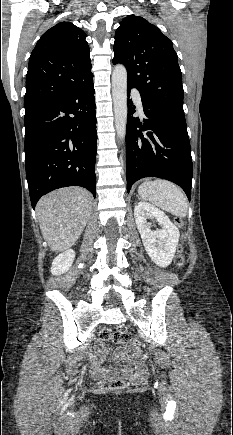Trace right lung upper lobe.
Returning a JSON list of instances; mask_svg holds the SVG:
<instances>
[{"label":"right lung upper lobe","mask_w":233,"mask_h":435,"mask_svg":"<svg viewBox=\"0 0 233 435\" xmlns=\"http://www.w3.org/2000/svg\"><path fill=\"white\" fill-rule=\"evenodd\" d=\"M85 38V32L71 22H60L42 35L29 59L25 113L54 100L92 74Z\"/></svg>","instance_id":"right-lung-upper-lobe-1"}]
</instances>
